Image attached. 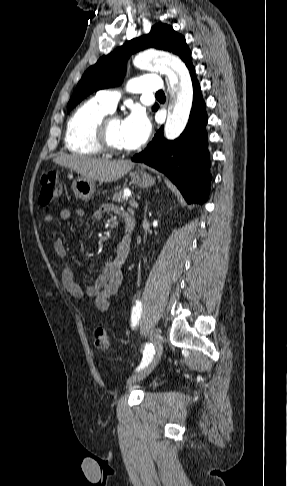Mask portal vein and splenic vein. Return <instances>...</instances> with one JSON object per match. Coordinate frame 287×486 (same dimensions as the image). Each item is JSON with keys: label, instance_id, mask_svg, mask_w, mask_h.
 <instances>
[{"label": "portal vein and splenic vein", "instance_id": "portal-vein-and-splenic-vein-1", "mask_svg": "<svg viewBox=\"0 0 287 486\" xmlns=\"http://www.w3.org/2000/svg\"><path fill=\"white\" fill-rule=\"evenodd\" d=\"M129 203H130L131 207H134V208L138 207V203L135 201V199H130Z\"/></svg>", "mask_w": 287, "mask_h": 486}]
</instances>
